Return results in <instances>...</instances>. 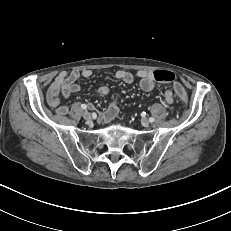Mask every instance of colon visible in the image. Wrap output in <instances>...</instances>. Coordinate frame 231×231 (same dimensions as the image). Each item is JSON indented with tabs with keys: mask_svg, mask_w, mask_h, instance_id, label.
I'll list each match as a JSON object with an SVG mask.
<instances>
[{
	"mask_svg": "<svg viewBox=\"0 0 231 231\" xmlns=\"http://www.w3.org/2000/svg\"><path fill=\"white\" fill-rule=\"evenodd\" d=\"M154 80L161 83H169L175 79L173 72L168 70H157L153 72ZM174 93L182 99L183 104L188 105L191 102L190 96L185 92L184 88L179 83L173 85Z\"/></svg>",
	"mask_w": 231,
	"mask_h": 231,
	"instance_id": "1",
	"label": "colon"
}]
</instances>
